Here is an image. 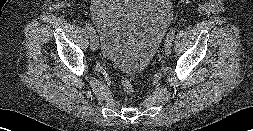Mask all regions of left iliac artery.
I'll return each mask as SVG.
<instances>
[{
    "label": "left iliac artery",
    "mask_w": 253,
    "mask_h": 131,
    "mask_svg": "<svg viewBox=\"0 0 253 131\" xmlns=\"http://www.w3.org/2000/svg\"><path fill=\"white\" fill-rule=\"evenodd\" d=\"M175 33H176V28H172L167 34L166 39L167 40L170 39L171 41H173Z\"/></svg>",
    "instance_id": "44dca946"
}]
</instances>
